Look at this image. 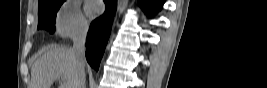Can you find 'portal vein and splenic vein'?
Masks as SVG:
<instances>
[{"instance_id":"1","label":"portal vein and splenic vein","mask_w":267,"mask_h":88,"mask_svg":"<svg viewBox=\"0 0 267 88\" xmlns=\"http://www.w3.org/2000/svg\"><path fill=\"white\" fill-rule=\"evenodd\" d=\"M61 77L62 81H64L65 77L64 76H59ZM67 86H64V88H66Z\"/></svg>"}]
</instances>
